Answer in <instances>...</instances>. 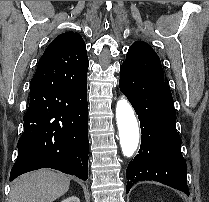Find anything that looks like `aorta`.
<instances>
[{"instance_id": "1", "label": "aorta", "mask_w": 209, "mask_h": 202, "mask_svg": "<svg viewBox=\"0 0 209 202\" xmlns=\"http://www.w3.org/2000/svg\"><path fill=\"white\" fill-rule=\"evenodd\" d=\"M116 121L122 153L131 157L139 144V127L134 110L126 98H121L116 105Z\"/></svg>"}]
</instances>
